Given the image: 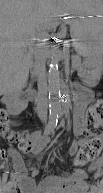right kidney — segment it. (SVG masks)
Listing matches in <instances>:
<instances>
[{"instance_id": "1", "label": "right kidney", "mask_w": 103, "mask_h": 193, "mask_svg": "<svg viewBox=\"0 0 103 193\" xmlns=\"http://www.w3.org/2000/svg\"><path fill=\"white\" fill-rule=\"evenodd\" d=\"M18 95V90L14 86H9L5 92H4V97H3V103L6 105V108L8 110H12L14 107L16 98Z\"/></svg>"}]
</instances>
